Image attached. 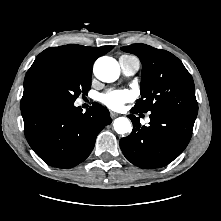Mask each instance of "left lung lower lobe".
I'll list each match as a JSON object with an SVG mask.
<instances>
[{"label":"left lung lower lobe","mask_w":221,"mask_h":221,"mask_svg":"<svg viewBox=\"0 0 221 221\" xmlns=\"http://www.w3.org/2000/svg\"><path fill=\"white\" fill-rule=\"evenodd\" d=\"M133 113H137L134 109ZM132 133L120 141L124 156L140 168H160L176 159L187 147L196 118L173 112H151L150 125L141 126L129 115Z\"/></svg>","instance_id":"1"}]
</instances>
